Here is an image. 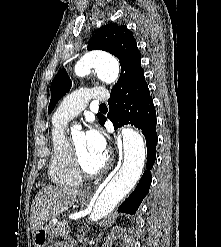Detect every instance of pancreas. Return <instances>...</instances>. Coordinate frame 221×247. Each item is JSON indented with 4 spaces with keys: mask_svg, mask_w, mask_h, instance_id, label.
Listing matches in <instances>:
<instances>
[{
    "mask_svg": "<svg viewBox=\"0 0 221 247\" xmlns=\"http://www.w3.org/2000/svg\"><path fill=\"white\" fill-rule=\"evenodd\" d=\"M68 223V221H63L52 224L53 232L56 237H65L70 233L71 228L68 226Z\"/></svg>",
    "mask_w": 221,
    "mask_h": 247,
    "instance_id": "cf45deb5",
    "label": "pancreas"
}]
</instances>
